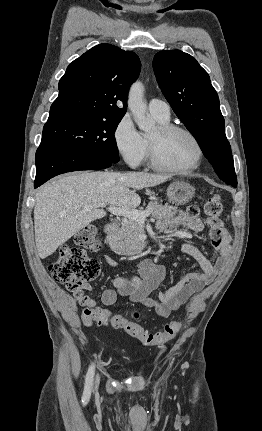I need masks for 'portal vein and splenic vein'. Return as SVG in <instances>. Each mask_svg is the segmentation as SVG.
Instances as JSON below:
<instances>
[{
  "label": "portal vein and splenic vein",
  "instance_id": "portal-vein-and-splenic-vein-1",
  "mask_svg": "<svg viewBox=\"0 0 262 431\" xmlns=\"http://www.w3.org/2000/svg\"><path fill=\"white\" fill-rule=\"evenodd\" d=\"M96 207L104 208V207H106V205L104 203H100ZM92 208H93L92 206H86V207H84L83 210L89 211ZM108 210L113 215L122 216L125 219H129V220H135V221L139 222L140 224H143L145 222L146 217H148L150 215L149 212L139 211V210H135V209H128V208H123V207H108Z\"/></svg>",
  "mask_w": 262,
  "mask_h": 431
}]
</instances>
